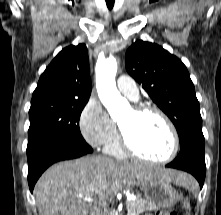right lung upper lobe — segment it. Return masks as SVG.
I'll return each instance as SVG.
<instances>
[{
    "instance_id": "cb5924a9",
    "label": "right lung upper lobe",
    "mask_w": 221,
    "mask_h": 215,
    "mask_svg": "<svg viewBox=\"0 0 221 215\" xmlns=\"http://www.w3.org/2000/svg\"><path fill=\"white\" fill-rule=\"evenodd\" d=\"M88 51L84 44L64 48L41 75L31 105L47 101H88L91 94Z\"/></svg>"
}]
</instances>
